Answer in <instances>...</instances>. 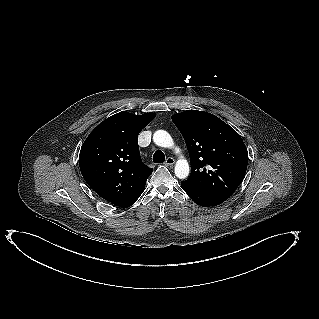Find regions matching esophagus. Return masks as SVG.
Instances as JSON below:
<instances>
[{"label":"esophagus","mask_w":319,"mask_h":319,"mask_svg":"<svg viewBox=\"0 0 319 319\" xmlns=\"http://www.w3.org/2000/svg\"><path fill=\"white\" fill-rule=\"evenodd\" d=\"M175 164V160L172 157H167L165 160V165L167 166H173Z\"/></svg>","instance_id":"34e87169"}]
</instances>
